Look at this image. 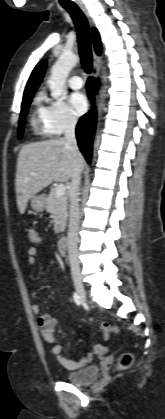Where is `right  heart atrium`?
<instances>
[{
    "label": "right heart atrium",
    "instance_id": "right-heart-atrium-1",
    "mask_svg": "<svg viewBox=\"0 0 165 419\" xmlns=\"http://www.w3.org/2000/svg\"><path fill=\"white\" fill-rule=\"evenodd\" d=\"M40 119L42 130L47 135L59 136L73 129L78 118L63 99L41 96Z\"/></svg>",
    "mask_w": 165,
    "mask_h": 419
}]
</instances>
